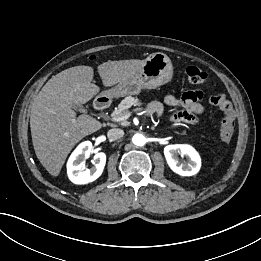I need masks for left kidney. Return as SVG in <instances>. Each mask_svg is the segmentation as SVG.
<instances>
[{"label": "left kidney", "instance_id": "left-kidney-1", "mask_svg": "<svg viewBox=\"0 0 261 261\" xmlns=\"http://www.w3.org/2000/svg\"><path fill=\"white\" fill-rule=\"evenodd\" d=\"M187 155V162H181L178 154ZM166 161L172 171L181 176H192L198 173L201 167V158L198 152L187 144L168 145L164 148Z\"/></svg>", "mask_w": 261, "mask_h": 261}]
</instances>
